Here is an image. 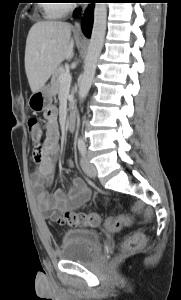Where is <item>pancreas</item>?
<instances>
[{"label": "pancreas", "instance_id": "1", "mask_svg": "<svg viewBox=\"0 0 181 300\" xmlns=\"http://www.w3.org/2000/svg\"><path fill=\"white\" fill-rule=\"evenodd\" d=\"M66 73V69L60 65L57 67V69L52 74L51 78V87L53 90V95H57L61 89V83H60V75ZM74 94V89L71 90V96Z\"/></svg>", "mask_w": 181, "mask_h": 300}]
</instances>
